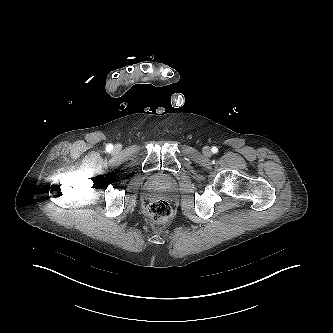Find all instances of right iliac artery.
<instances>
[{"label": "right iliac artery", "instance_id": "obj_1", "mask_svg": "<svg viewBox=\"0 0 333 333\" xmlns=\"http://www.w3.org/2000/svg\"><path fill=\"white\" fill-rule=\"evenodd\" d=\"M112 148H113V146H112L111 144H109V145H107V148H106V149H107L108 151H111Z\"/></svg>", "mask_w": 333, "mask_h": 333}]
</instances>
